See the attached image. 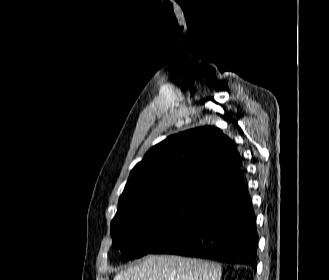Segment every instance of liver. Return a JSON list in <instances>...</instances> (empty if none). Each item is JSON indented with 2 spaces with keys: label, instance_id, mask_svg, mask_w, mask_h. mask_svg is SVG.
<instances>
[{
  "label": "liver",
  "instance_id": "liver-1",
  "mask_svg": "<svg viewBox=\"0 0 329 280\" xmlns=\"http://www.w3.org/2000/svg\"><path fill=\"white\" fill-rule=\"evenodd\" d=\"M220 265L176 255H150L113 280H220Z\"/></svg>",
  "mask_w": 329,
  "mask_h": 280
}]
</instances>
